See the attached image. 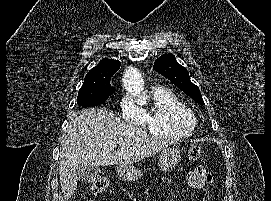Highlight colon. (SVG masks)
I'll list each match as a JSON object with an SVG mask.
<instances>
[{
	"mask_svg": "<svg viewBox=\"0 0 271 201\" xmlns=\"http://www.w3.org/2000/svg\"><path fill=\"white\" fill-rule=\"evenodd\" d=\"M203 156V150L200 146H193L188 151V158L191 161L200 160ZM109 186V181L107 178L102 177L95 180L91 185V193L93 196H100L103 194Z\"/></svg>",
	"mask_w": 271,
	"mask_h": 201,
	"instance_id": "obj_1",
	"label": "colon"
}]
</instances>
